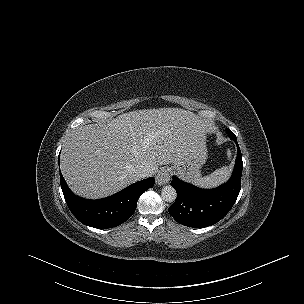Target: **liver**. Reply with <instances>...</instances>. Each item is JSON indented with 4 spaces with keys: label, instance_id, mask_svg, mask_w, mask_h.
Returning <instances> with one entry per match:
<instances>
[{
    "label": "liver",
    "instance_id": "obj_1",
    "mask_svg": "<svg viewBox=\"0 0 304 304\" xmlns=\"http://www.w3.org/2000/svg\"><path fill=\"white\" fill-rule=\"evenodd\" d=\"M209 124L178 108L136 110L107 123L72 131L61 154V171L70 189L86 198L112 195L138 181L134 170L180 163L205 149Z\"/></svg>",
    "mask_w": 304,
    "mask_h": 304
}]
</instances>
